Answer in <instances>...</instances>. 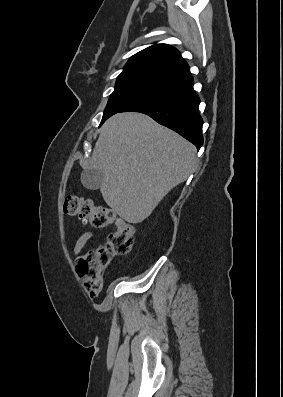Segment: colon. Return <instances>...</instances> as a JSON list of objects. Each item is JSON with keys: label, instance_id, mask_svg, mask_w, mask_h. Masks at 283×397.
I'll list each match as a JSON object with an SVG mask.
<instances>
[{"label": "colon", "instance_id": "1", "mask_svg": "<svg viewBox=\"0 0 283 397\" xmlns=\"http://www.w3.org/2000/svg\"><path fill=\"white\" fill-rule=\"evenodd\" d=\"M63 211L66 215L77 216L94 227H106L113 224L115 230L108 235L104 245L87 251L77 264V271L84 280V286L91 296L98 295L103 288V270L111 260L131 251L134 242V227L118 217L109 207L97 206L91 200L76 195L65 198Z\"/></svg>", "mask_w": 283, "mask_h": 397}]
</instances>
